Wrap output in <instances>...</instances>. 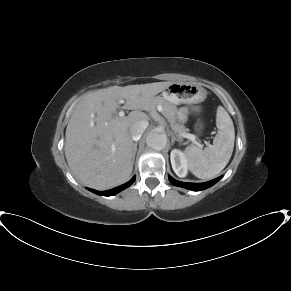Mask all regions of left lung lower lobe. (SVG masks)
Listing matches in <instances>:
<instances>
[{"mask_svg":"<svg viewBox=\"0 0 291 291\" xmlns=\"http://www.w3.org/2000/svg\"><path fill=\"white\" fill-rule=\"evenodd\" d=\"M221 177H218L216 179H213L211 181L205 182V183H186V182H181L173 179L172 177L169 176V180L173 185L184 187L193 191H199V190H204L212 185H214L217 181L220 180Z\"/></svg>","mask_w":291,"mask_h":291,"instance_id":"1","label":"left lung lower lobe"}]
</instances>
